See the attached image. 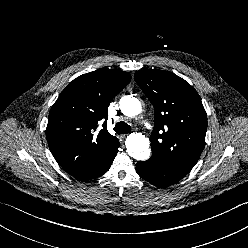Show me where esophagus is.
<instances>
[{"label":"esophagus","instance_id":"esophagus-1","mask_svg":"<svg viewBox=\"0 0 248 248\" xmlns=\"http://www.w3.org/2000/svg\"><path fill=\"white\" fill-rule=\"evenodd\" d=\"M127 135H128V134H122V135H121V138H123V139H124V138H126V137H127Z\"/></svg>","mask_w":248,"mask_h":248}]
</instances>
